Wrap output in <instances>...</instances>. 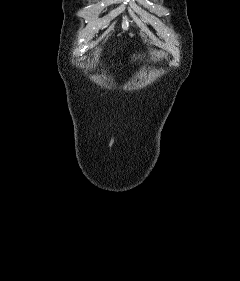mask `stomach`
<instances>
[{
    "label": "stomach",
    "mask_w": 240,
    "mask_h": 281,
    "mask_svg": "<svg viewBox=\"0 0 240 281\" xmlns=\"http://www.w3.org/2000/svg\"><path fill=\"white\" fill-rule=\"evenodd\" d=\"M141 52V53H140ZM139 53H133L132 55H131V60H130V65H136V64H140V63H142V62H144V58H145V53L144 52H142V51H140ZM143 56V57H142Z\"/></svg>",
    "instance_id": "1"
}]
</instances>
